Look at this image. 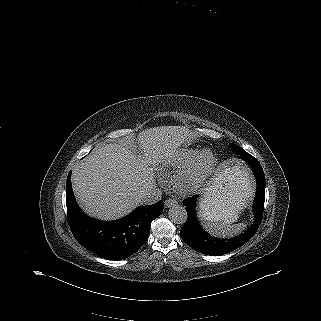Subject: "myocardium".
<instances>
[{"instance_id": "f54148a6", "label": "myocardium", "mask_w": 321, "mask_h": 321, "mask_svg": "<svg viewBox=\"0 0 321 321\" xmlns=\"http://www.w3.org/2000/svg\"><path fill=\"white\" fill-rule=\"evenodd\" d=\"M215 157L210 150L198 152L194 161L172 180V185L181 194H189L198 190L210 175Z\"/></svg>"}]
</instances>
